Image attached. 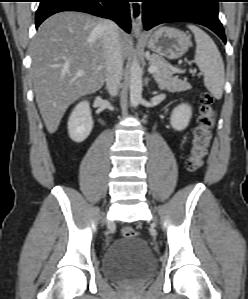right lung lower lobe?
Returning a JSON list of instances; mask_svg holds the SVG:
<instances>
[{
  "label": "right lung lower lobe",
  "mask_w": 248,
  "mask_h": 299,
  "mask_svg": "<svg viewBox=\"0 0 248 299\" xmlns=\"http://www.w3.org/2000/svg\"><path fill=\"white\" fill-rule=\"evenodd\" d=\"M129 0H40L36 28L49 16L62 11H80L115 21L130 33Z\"/></svg>",
  "instance_id": "right-lung-lower-lobe-1"
}]
</instances>
